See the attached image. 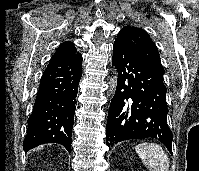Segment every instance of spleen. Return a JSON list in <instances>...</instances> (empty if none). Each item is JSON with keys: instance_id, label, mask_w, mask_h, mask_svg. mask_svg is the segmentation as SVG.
<instances>
[{"instance_id": "3e777b00", "label": "spleen", "mask_w": 199, "mask_h": 171, "mask_svg": "<svg viewBox=\"0 0 199 171\" xmlns=\"http://www.w3.org/2000/svg\"><path fill=\"white\" fill-rule=\"evenodd\" d=\"M135 150L149 171H168L169 159L159 144L144 142L138 144Z\"/></svg>"}]
</instances>
